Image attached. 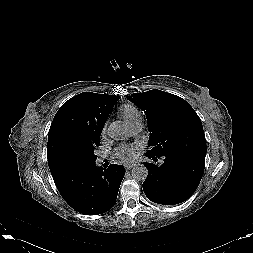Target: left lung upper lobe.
<instances>
[{
	"instance_id": "left-lung-upper-lobe-1",
	"label": "left lung upper lobe",
	"mask_w": 253,
	"mask_h": 253,
	"mask_svg": "<svg viewBox=\"0 0 253 253\" xmlns=\"http://www.w3.org/2000/svg\"><path fill=\"white\" fill-rule=\"evenodd\" d=\"M126 98L146 114L151 133L148 154L182 149L207 151L201 120L183 98L161 90L133 93Z\"/></svg>"
}]
</instances>
